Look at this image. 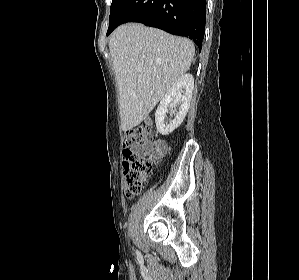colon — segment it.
I'll return each mask as SVG.
<instances>
[{
    "label": "colon",
    "instance_id": "1",
    "mask_svg": "<svg viewBox=\"0 0 299 280\" xmlns=\"http://www.w3.org/2000/svg\"><path fill=\"white\" fill-rule=\"evenodd\" d=\"M151 132L145 126L127 131L123 139V176L125 194L132 198L140 194L157 159L155 154L140 153L136 148L147 144Z\"/></svg>",
    "mask_w": 299,
    "mask_h": 280
}]
</instances>
